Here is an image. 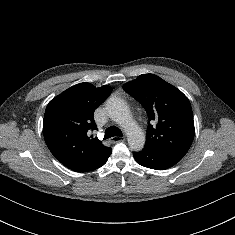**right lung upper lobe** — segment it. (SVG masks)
<instances>
[{
  "mask_svg": "<svg viewBox=\"0 0 235 235\" xmlns=\"http://www.w3.org/2000/svg\"><path fill=\"white\" fill-rule=\"evenodd\" d=\"M112 88L80 83L53 98L45 110L43 135L53 156L66 167L89 171L108 151L89 131L96 129L94 110L111 94Z\"/></svg>",
  "mask_w": 235,
  "mask_h": 235,
  "instance_id": "cb5924a9",
  "label": "right lung upper lobe"
}]
</instances>
